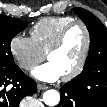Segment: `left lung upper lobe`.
Segmentation results:
<instances>
[{"label": "left lung upper lobe", "mask_w": 107, "mask_h": 107, "mask_svg": "<svg viewBox=\"0 0 107 107\" xmlns=\"http://www.w3.org/2000/svg\"><path fill=\"white\" fill-rule=\"evenodd\" d=\"M74 11L86 24L90 33V51L80 75L72 81L88 86V81L98 72L105 70L107 75V29L102 22L89 11L75 8Z\"/></svg>", "instance_id": "left-lung-upper-lobe-1"}]
</instances>
